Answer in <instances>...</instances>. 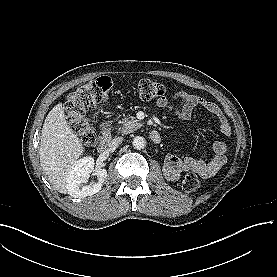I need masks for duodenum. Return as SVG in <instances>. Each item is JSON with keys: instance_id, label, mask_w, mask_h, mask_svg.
Wrapping results in <instances>:
<instances>
[{"instance_id": "duodenum-1", "label": "duodenum", "mask_w": 277, "mask_h": 277, "mask_svg": "<svg viewBox=\"0 0 277 277\" xmlns=\"http://www.w3.org/2000/svg\"><path fill=\"white\" fill-rule=\"evenodd\" d=\"M111 136V126L108 122H102L98 128L97 143L99 146L105 144ZM150 139L154 142H159L161 139L160 133L156 128L149 132Z\"/></svg>"}]
</instances>
